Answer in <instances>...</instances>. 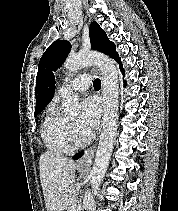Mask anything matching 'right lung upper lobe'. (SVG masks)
Listing matches in <instances>:
<instances>
[{
  "instance_id": "right-lung-upper-lobe-1",
  "label": "right lung upper lobe",
  "mask_w": 178,
  "mask_h": 211,
  "mask_svg": "<svg viewBox=\"0 0 178 211\" xmlns=\"http://www.w3.org/2000/svg\"><path fill=\"white\" fill-rule=\"evenodd\" d=\"M55 91V79L51 72H46L36 87L35 112L42 111L51 101Z\"/></svg>"
}]
</instances>
